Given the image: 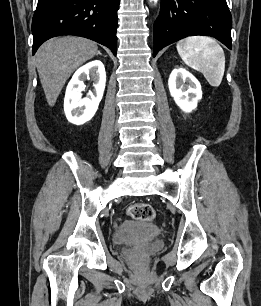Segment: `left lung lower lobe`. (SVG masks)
<instances>
[{"label":"left lung lower lobe","instance_id":"left-lung-lower-lobe-1","mask_svg":"<svg viewBox=\"0 0 261 306\" xmlns=\"http://www.w3.org/2000/svg\"><path fill=\"white\" fill-rule=\"evenodd\" d=\"M232 17L226 0H162L154 24V54L187 36H212L232 48Z\"/></svg>","mask_w":261,"mask_h":306}]
</instances>
